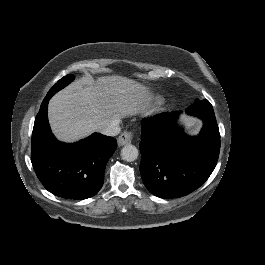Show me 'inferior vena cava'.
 Instances as JSON below:
<instances>
[{
  "label": "inferior vena cava",
  "instance_id": "inferior-vena-cava-1",
  "mask_svg": "<svg viewBox=\"0 0 265 265\" xmlns=\"http://www.w3.org/2000/svg\"><path fill=\"white\" fill-rule=\"evenodd\" d=\"M119 131L117 121H112L100 129V133L107 136H115L119 133Z\"/></svg>",
  "mask_w": 265,
  "mask_h": 265
}]
</instances>
